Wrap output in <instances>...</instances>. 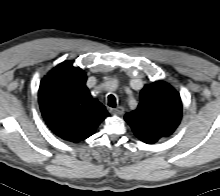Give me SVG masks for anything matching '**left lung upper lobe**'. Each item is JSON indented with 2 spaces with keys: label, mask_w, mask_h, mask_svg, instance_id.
I'll return each mask as SVG.
<instances>
[{
  "label": "left lung upper lobe",
  "mask_w": 220,
  "mask_h": 196,
  "mask_svg": "<svg viewBox=\"0 0 220 196\" xmlns=\"http://www.w3.org/2000/svg\"><path fill=\"white\" fill-rule=\"evenodd\" d=\"M182 103L179 93L164 81L145 85L135 111L125 115L135 136L147 144L169 137L181 121Z\"/></svg>",
  "instance_id": "obj_1"
}]
</instances>
